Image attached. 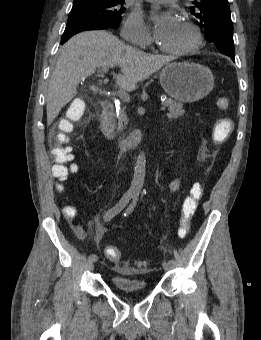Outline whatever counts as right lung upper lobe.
Segmentation results:
<instances>
[{
	"label": "right lung upper lobe",
	"instance_id": "cb5924a9",
	"mask_svg": "<svg viewBox=\"0 0 261 340\" xmlns=\"http://www.w3.org/2000/svg\"><path fill=\"white\" fill-rule=\"evenodd\" d=\"M80 1H88V0H74V2H80ZM94 1H116V0H94Z\"/></svg>",
	"mask_w": 261,
	"mask_h": 340
}]
</instances>
